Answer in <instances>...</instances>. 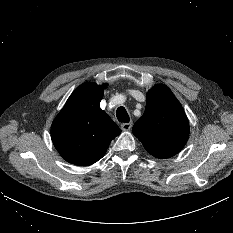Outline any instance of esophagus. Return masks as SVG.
<instances>
[{"label": "esophagus", "instance_id": "34e87169", "mask_svg": "<svg viewBox=\"0 0 233 233\" xmlns=\"http://www.w3.org/2000/svg\"><path fill=\"white\" fill-rule=\"evenodd\" d=\"M131 128H132V122L123 123V124L121 125V129H122L123 131H128V130H130Z\"/></svg>", "mask_w": 233, "mask_h": 233}]
</instances>
